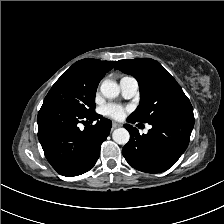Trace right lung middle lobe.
I'll list each match as a JSON object with an SVG mask.
<instances>
[{
  "instance_id": "dd1d6c3e",
  "label": "right lung middle lobe",
  "mask_w": 224,
  "mask_h": 224,
  "mask_svg": "<svg viewBox=\"0 0 224 224\" xmlns=\"http://www.w3.org/2000/svg\"><path fill=\"white\" fill-rule=\"evenodd\" d=\"M99 79L70 67L46 95L43 105L70 110L81 116L94 114Z\"/></svg>"
}]
</instances>
